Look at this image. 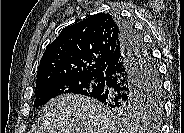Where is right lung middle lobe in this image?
Wrapping results in <instances>:
<instances>
[{"label": "right lung middle lobe", "mask_w": 184, "mask_h": 133, "mask_svg": "<svg viewBox=\"0 0 184 133\" xmlns=\"http://www.w3.org/2000/svg\"><path fill=\"white\" fill-rule=\"evenodd\" d=\"M147 56L150 59L151 84L145 98L138 102L130 101L124 104L110 106L114 111L126 115L148 113L159 116L161 114L163 106L161 81L152 55L147 54ZM103 87V75H87L56 79L35 89L36 99L34 107H39L47 103L50 99L67 93L95 97L102 92Z\"/></svg>", "instance_id": "obj_1"}]
</instances>
